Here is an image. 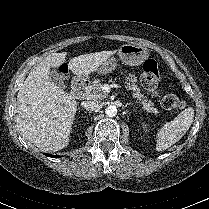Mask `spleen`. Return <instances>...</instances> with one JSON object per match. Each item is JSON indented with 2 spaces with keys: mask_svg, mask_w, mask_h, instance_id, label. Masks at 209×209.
Masks as SVG:
<instances>
[{
  "mask_svg": "<svg viewBox=\"0 0 209 209\" xmlns=\"http://www.w3.org/2000/svg\"><path fill=\"white\" fill-rule=\"evenodd\" d=\"M194 119V109L183 110L173 121L166 123L158 132L156 150L164 151L179 141L190 128Z\"/></svg>",
  "mask_w": 209,
  "mask_h": 209,
  "instance_id": "3e777b00",
  "label": "spleen"
}]
</instances>
